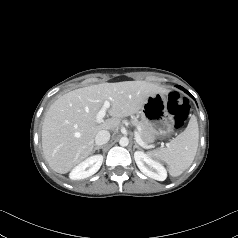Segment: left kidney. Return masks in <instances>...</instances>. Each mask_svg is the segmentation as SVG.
<instances>
[{"instance_id":"5707ae66","label":"left kidney","mask_w":238,"mask_h":238,"mask_svg":"<svg viewBox=\"0 0 238 238\" xmlns=\"http://www.w3.org/2000/svg\"><path fill=\"white\" fill-rule=\"evenodd\" d=\"M135 162L140 171L146 176L158 181H164L167 177L166 169L157 161L152 160L142 151L134 153Z\"/></svg>"}]
</instances>
